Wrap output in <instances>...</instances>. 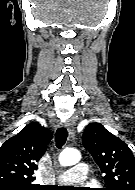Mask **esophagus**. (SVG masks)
Here are the masks:
<instances>
[{
    "label": "esophagus",
    "instance_id": "esophagus-1",
    "mask_svg": "<svg viewBox=\"0 0 135 190\" xmlns=\"http://www.w3.org/2000/svg\"><path fill=\"white\" fill-rule=\"evenodd\" d=\"M65 127L68 129L70 138H73L74 135H75V130H74L73 123L71 121H66L65 122Z\"/></svg>",
    "mask_w": 135,
    "mask_h": 190
}]
</instances>
